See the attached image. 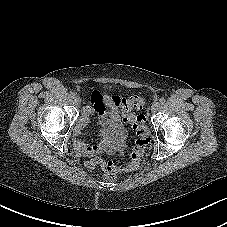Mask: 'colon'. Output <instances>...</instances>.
<instances>
[{
	"mask_svg": "<svg viewBox=\"0 0 227 227\" xmlns=\"http://www.w3.org/2000/svg\"><path fill=\"white\" fill-rule=\"evenodd\" d=\"M145 100L140 96H132L122 100L123 120L131 124L137 139L131 153V161L127 166H118L112 161H106L96 156L88 162V168L93 169L99 165L107 179H114L117 174L136 170L150 145V132L143 115H136L133 110L144 107Z\"/></svg>",
	"mask_w": 227,
	"mask_h": 227,
	"instance_id": "colon-1",
	"label": "colon"
}]
</instances>
